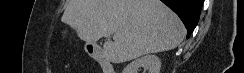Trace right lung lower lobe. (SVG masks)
I'll use <instances>...</instances> for the list:
<instances>
[{
    "label": "right lung lower lobe",
    "instance_id": "98d812e1",
    "mask_svg": "<svg viewBox=\"0 0 244 73\" xmlns=\"http://www.w3.org/2000/svg\"><path fill=\"white\" fill-rule=\"evenodd\" d=\"M169 8H171L182 20L187 28V37L195 29L200 11L203 5V0H161Z\"/></svg>",
    "mask_w": 244,
    "mask_h": 73
}]
</instances>
